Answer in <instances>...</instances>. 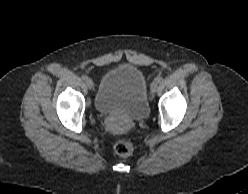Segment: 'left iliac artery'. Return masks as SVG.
<instances>
[{
  "mask_svg": "<svg viewBox=\"0 0 248 194\" xmlns=\"http://www.w3.org/2000/svg\"><path fill=\"white\" fill-rule=\"evenodd\" d=\"M155 80H156V82L160 83L162 81V78L161 77H157Z\"/></svg>",
  "mask_w": 248,
  "mask_h": 194,
  "instance_id": "44dca946",
  "label": "left iliac artery"
}]
</instances>
